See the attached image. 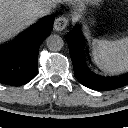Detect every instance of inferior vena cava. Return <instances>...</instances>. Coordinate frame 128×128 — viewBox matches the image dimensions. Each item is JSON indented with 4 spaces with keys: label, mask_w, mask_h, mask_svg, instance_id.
<instances>
[{
    "label": "inferior vena cava",
    "mask_w": 128,
    "mask_h": 128,
    "mask_svg": "<svg viewBox=\"0 0 128 128\" xmlns=\"http://www.w3.org/2000/svg\"><path fill=\"white\" fill-rule=\"evenodd\" d=\"M52 12V5L46 2L35 9V14L37 17H42L50 14Z\"/></svg>",
    "instance_id": "inferior-vena-cava-1"
}]
</instances>
